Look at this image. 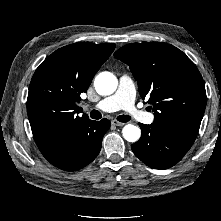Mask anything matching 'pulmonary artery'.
<instances>
[{
    "label": "pulmonary artery",
    "instance_id": "e3ab8cb5",
    "mask_svg": "<svg viewBox=\"0 0 221 221\" xmlns=\"http://www.w3.org/2000/svg\"><path fill=\"white\" fill-rule=\"evenodd\" d=\"M94 108L103 112H115L120 109L139 122L151 124L154 115L143 111L135 104V87L132 79L122 76L119 80V87L115 94L106 97L94 105Z\"/></svg>",
    "mask_w": 221,
    "mask_h": 221
}]
</instances>
